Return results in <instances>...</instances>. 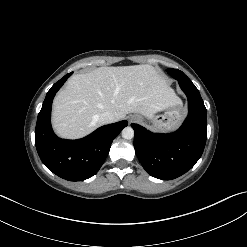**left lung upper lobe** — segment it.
I'll return each mask as SVG.
<instances>
[{
    "label": "left lung upper lobe",
    "instance_id": "5c2ea615",
    "mask_svg": "<svg viewBox=\"0 0 247 247\" xmlns=\"http://www.w3.org/2000/svg\"><path fill=\"white\" fill-rule=\"evenodd\" d=\"M167 71H168V73H169L171 76H173L174 78H176V77L179 76V75H185L182 71L177 70V69H172V68H170V69H168Z\"/></svg>",
    "mask_w": 247,
    "mask_h": 247
}]
</instances>
